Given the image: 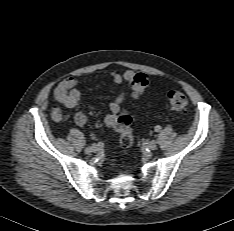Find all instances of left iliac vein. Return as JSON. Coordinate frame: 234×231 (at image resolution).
<instances>
[{
	"label": "left iliac vein",
	"instance_id": "left-iliac-vein-1",
	"mask_svg": "<svg viewBox=\"0 0 234 231\" xmlns=\"http://www.w3.org/2000/svg\"><path fill=\"white\" fill-rule=\"evenodd\" d=\"M157 148V142L155 140H151L149 143H148V149L150 150H155Z\"/></svg>",
	"mask_w": 234,
	"mask_h": 231
}]
</instances>
